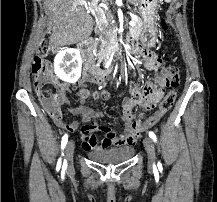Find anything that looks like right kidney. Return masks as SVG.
<instances>
[{
    "mask_svg": "<svg viewBox=\"0 0 217 202\" xmlns=\"http://www.w3.org/2000/svg\"><path fill=\"white\" fill-rule=\"evenodd\" d=\"M55 74L60 80L75 84L81 78L82 60L79 50L68 48L55 56L54 60Z\"/></svg>",
    "mask_w": 217,
    "mask_h": 202,
    "instance_id": "1",
    "label": "right kidney"
}]
</instances>
